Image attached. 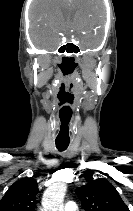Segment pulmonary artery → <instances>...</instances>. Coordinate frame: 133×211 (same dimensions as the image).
I'll return each mask as SVG.
<instances>
[{
  "instance_id": "e3ab8cb5",
  "label": "pulmonary artery",
  "mask_w": 133,
  "mask_h": 211,
  "mask_svg": "<svg viewBox=\"0 0 133 211\" xmlns=\"http://www.w3.org/2000/svg\"><path fill=\"white\" fill-rule=\"evenodd\" d=\"M64 211H78L77 205L75 202L73 201H68L65 205H64Z\"/></svg>"
}]
</instances>
